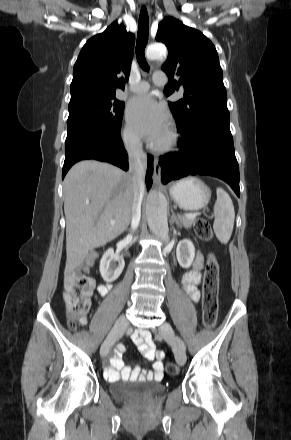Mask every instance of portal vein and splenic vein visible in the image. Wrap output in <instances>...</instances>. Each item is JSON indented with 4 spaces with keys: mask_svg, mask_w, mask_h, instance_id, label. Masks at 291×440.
Masks as SVG:
<instances>
[{
    "mask_svg": "<svg viewBox=\"0 0 291 440\" xmlns=\"http://www.w3.org/2000/svg\"><path fill=\"white\" fill-rule=\"evenodd\" d=\"M183 216L188 219H195L196 218V214H194V213H186ZM114 223H115L114 221H111V225H114Z\"/></svg>",
    "mask_w": 291,
    "mask_h": 440,
    "instance_id": "portal-vein-and-splenic-vein-1",
    "label": "portal vein and splenic vein"
}]
</instances>
